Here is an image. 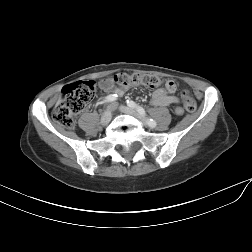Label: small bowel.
I'll list each match as a JSON object with an SVG mask.
<instances>
[{
    "mask_svg": "<svg viewBox=\"0 0 252 252\" xmlns=\"http://www.w3.org/2000/svg\"><path fill=\"white\" fill-rule=\"evenodd\" d=\"M100 88L106 93H112L111 95L122 96L124 94V89L117 88L106 80L100 82ZM175 89L176 86L172 88L165 86L164 89L155 90L151 97V104L158 107L179 104V98L174 94Z\"/></svg>",
    "mask_w": 252,
    "mask_h": 252,
    "instance_id": "obj_1",
    "label": "small bowel"
}]
</instances>
